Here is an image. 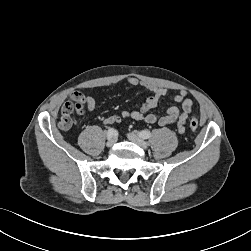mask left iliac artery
I'll return each mask as SVG.
<instances>
[{
	"label": "left iliac artery",
	"mask_w": 251,
	"mask_h": 251,
	"mask_svg": "<svg viewBox=\"0 0 251 251\" xmlns=\"http://www.w3.org/2000/svg\"><path fill=\"white\" fill-rule=\"evenodd\" d=\"M139 136L143 139H148L151 136V132L149 130H142L139 132Z\"/></svg>",
	"instance_id": "44dca946"
}]
</instances>
